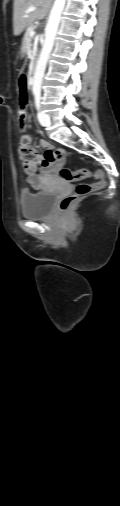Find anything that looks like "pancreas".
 <instances>
[{
    "label": "pancreas",
    "mask_w": 120,
    "mask_h": 506,
    "mask_svg": "<svg viewBox=\"0 0 120 506\" xmlns=\"http://www.w3.org/2000/svg\"><path fill=\"white\" fill-rule=\"evenodd\" d=\"M33 30V26H29L25 35H24V39H23V48L24 49H27L30 44H31V36H30V31Z\"/></svg>",
    "instance_id": "pancreas-1"
}]
</instances>
